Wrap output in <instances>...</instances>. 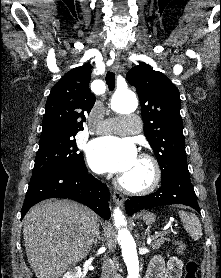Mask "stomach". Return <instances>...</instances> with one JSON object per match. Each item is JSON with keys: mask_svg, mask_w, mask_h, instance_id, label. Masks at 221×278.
<instances>
[{"mask_svg": "<svg viewBox=\"0 0 221 278\" xmlns=\"http://www.w3.org/2000/svg\"><path fill=\"white\" fill-rule=\"evenodd\" d=\"M142 219L147 225H149L155 222L156 216L153 213L148 212L143 214Z\"/></svg>", "mask_w": 221, "mask_h": 278, "instance_id": "1", "label": "stomach"}]
</instances>
